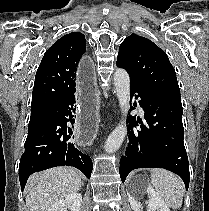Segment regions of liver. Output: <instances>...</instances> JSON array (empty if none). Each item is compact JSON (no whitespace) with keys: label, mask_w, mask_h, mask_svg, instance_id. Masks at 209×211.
Returning <instances> with one entry per match:
<instances>
[{"label":"liver","mask_w":209,"mask_h":211,"mask_svg":"<svg viewBox=\"0 0 209 211\" xmlns=\"http://www.w3.org/2000/svg\"><path fill=\"white\" fill-rule=\"evenodd\" d=\"M28 211H47L57 201L81 188V177L71 167H55L30 176L27 183Z\"/></svg>","instance_id":"obj_1"}]
</instances>
